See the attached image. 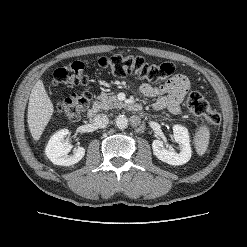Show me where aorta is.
<instances>
[{
    "instance_id": "762f6f07",
    "label": "aorta",
    "mask_w": 247,
    "mask_h": 247,
    "mask_svg": "<svg viewBox=\"0 0 247 247\" xmlns=\"http://www.w3.org/2000/svg\"><path fill=\"white\" fill-rule=\"evenodd\" d=\"M115 123H116V126L119 128V129H125L127 128L128 126V119L126 116L124 115H119L117 116V118L115 119Z\"/></svg>"
}]
</instances>
